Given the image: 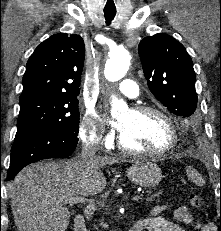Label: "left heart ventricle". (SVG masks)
Masks as SVG:
<instances>
[{
  "instance_id": "obj_1",
  "label": "left heart ventricle",
  "mask_w": 221,
  "mask_h": 231,
  "mask_svg": "<svg viewBox=\"0 0 221 231\" xmlns=\"http://www.w3.org/2000/svg\"><path fill=\"white\" fill-rule=\"evenodd\" d=\"M123 142L133 149L158 151L171 142L168 123L156 114H136L128 110L119 117Z\"/></svg>"
}]
</instances>
